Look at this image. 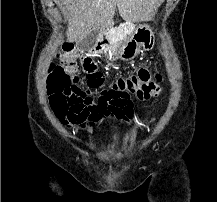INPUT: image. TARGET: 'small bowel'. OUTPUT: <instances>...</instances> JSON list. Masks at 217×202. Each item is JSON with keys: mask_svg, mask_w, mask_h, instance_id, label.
I'll return each mask as SVG.
<instances>
[{"mask_svg": "<svg viewBox=\"0 0 217 202\" xmlns=\"http://www.w3.org/2000/svg\"><path fill=\"white\" fill-rule=\"evenodd\" d=\"M86 90H100V85H86Z\"/></svg>", "mask_w": 217, "mask_h": 202, "instance_id": "c3829d8e", "label": "small bowel"}]
</instances>
